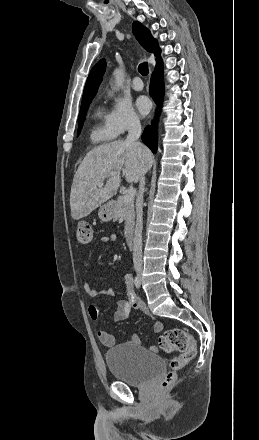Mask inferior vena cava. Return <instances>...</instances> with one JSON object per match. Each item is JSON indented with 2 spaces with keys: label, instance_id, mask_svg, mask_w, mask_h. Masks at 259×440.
I'll list each match as a JSON object with an SVG mask.
<instances>
[{
  "label": "inferior vena cava",
  "instance_id": "inferior-vena-cava-1",
  "mask_svg": "<svg viewBox=\"0 0 259 440\" xmlns=\"http://www.w3.org/2000/svg\"><path fill=\"white\" fill-rule=\"evenodd\" d=\"M140 135H141L140 121L136 118H133L130 120L128 125V135L126 142L136 145L144 155L147 151V148L138 141ZM144 175H142L139 180V191L136 199V225L134 229V238H133V263H134V268L137 271H141L143 265L142 229H143V194L145 191Z\"/></svg>",
  "mask_w": 259,
  "mask_h": 440
}]
</instances>
